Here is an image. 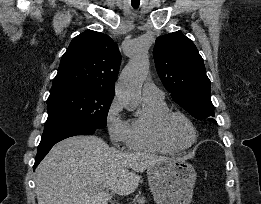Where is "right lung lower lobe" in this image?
Instances as JSON below:
<instances>
[{"instance_id": "98d812e1", "label": "right lung lower lobe", "mask_w": 261, "mask_h": 204, "mask_svg": "<svg viewBox=\"0 0 261 204\" xmlns=\"http://www.w3.org/2000/svg\"><path fill=\"white\" fill-rule=\"evenodd\" d=\"M96 128L92 127H78V128H68L58 131H53L48 134H43L41 142L38 146L37 155L35 158V164L33 169L37 167L40 161L45 157V155L50 151V149L59 141L75 136V135H91L95 132Z\"/></svg>"}]
</instances>
